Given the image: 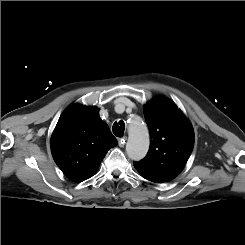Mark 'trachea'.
Segmentation results:
<instances>
[{
    "instance_id": "3493384b",
    "label": "trachea",
    "mask_w": 245,
    "mask_h": 245,
    "mask_svg": "<svg viewBox=\"0 0 245 245\" xmlns=\"http://www.w3.org/2000/svg\"><path fill=\"white\" fill-rule=\"evenodd\" d=\"M112 130L115 136L122 137L125 130V123L122 120L115 122L113 124Z\"/></svg>"
}]
</instances>
